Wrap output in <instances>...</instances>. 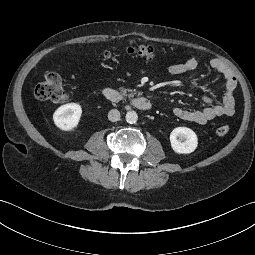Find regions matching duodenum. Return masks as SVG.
Listing matches in <instances>:
<instances>
[{
	"instance_id": "duodenum-1",
	"label": "duodenum",
	"mask_w": 255,
	"mask_h": 255,
	"mask_svg": "<svg viewBox=\"0 0 255 255\" xmlns=\"http://www.w3.org/2000/svg\"><path fill=\"white\" fill-rule=\"evenodd\" d=\"M103 94L109 102L117 103L121 99L120 93L110 87H105L103 89ZM130 102L135 108L141 111H149L152 108L151 102L145 97H136L131 99Z\"/></svg>"
}]
</instances>
